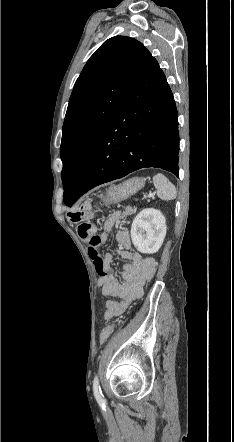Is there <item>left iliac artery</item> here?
Instances as JSON below:
<instances>
[{
  "instance_id": "1",
  "label": "left iliac artery",
  "mask_w": 234,
  "mask_h": 442,
  "mask_svg": "<svg viewBox=\"0 0 234 442\" xmlns=\"http://www.w3.org/2000/svg\"><path fill=\"white\" fill-rule=\"evenodd\" d=\"M93 393H94V396H95L96 400L98 401V403L103 404L105 400H104V397H103V394H102V391H101V388L99 385V379H98L97 375L94 377V381H93Z\"/></svg>"
}]
</instances>
